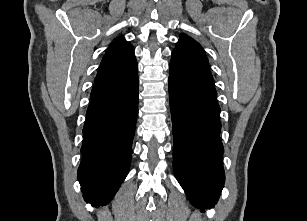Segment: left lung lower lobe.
I'll list each match as a JSON object with an SVG mask.
<instances>
[{
	"label": "left lung lower lobe",
	"instance_id": "1",
	"mask_svg": "<svg viewBox=\"0 0 307 221\" xmlns=\"http://www.w3.org/2000/svg\"><path fill=\"white\" fill-rule=\"evenodd\" d=\"M213 78L172 52L169 100L176 178L193 206L216 204L225 181L220 108Z\"/></svg>",
	"mask_w": 307,
	"mask_h": 221
}]
</instances>
